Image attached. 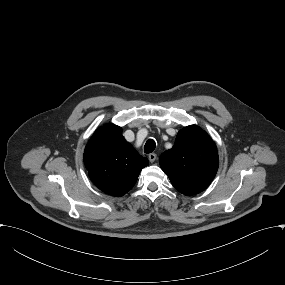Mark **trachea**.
Here are the masks:
<instances>
[{"instance_id":"obj_1","label":"trachea","mask_w":285,"mask_h":285,"mask_svg":"<svg viewBox=\"0 0 285 285\" xmlns=\"http://www.w3.org/2000/svg\"><path fill=\"white\" fill-rule=\"evenodd\" d=\"M155 147H156L155 141L153 139H149L145 143L144 152L147 154L152 153L155 150Z\"/></svg>"}]
</instances>
